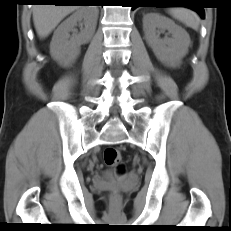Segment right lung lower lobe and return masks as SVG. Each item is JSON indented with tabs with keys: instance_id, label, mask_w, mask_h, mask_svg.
Returning a JSON list of instances; mask_svg holds the SVG:
<instances>
[{
	"instance_id": "right-lung-lower-lobe-1",
	"label": "right lung lower lobe",
	"mask_w": 231,
	"mask_h": 231,
	"mask_svg": "<svg viewBox=\"0 0 231 231\" xmlns=\"http://www.w3.org/2000/svg\"><path fill=\"white\" fill-rule=\"evenodd\" d=\"M77 1L80 0H34V2L37 3H52L55 5H67V4L76 5V3H78Z\"/></svg>"
}]
</instances>
